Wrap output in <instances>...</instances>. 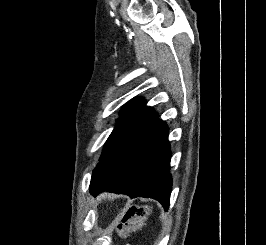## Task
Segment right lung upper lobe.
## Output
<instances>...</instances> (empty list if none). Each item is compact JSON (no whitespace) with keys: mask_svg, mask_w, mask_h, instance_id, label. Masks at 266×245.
<instances>
[{"mask_svg":"<svg viewBox=\"0 0 266 245\" xmlns=\"http://www.w3.org/2000/svg\"><path fill=\"white\" fill-rule=\"evenodd\" d=\"M120 117L119 120L149 122L157 119L158 115L145 106L144 99L134 98L122 108Z\"/></svg>","mask_w":266,"mask_h":245,"instance_id":"cb5924a9","label":"right lung upper lobe"}]
</instances>
